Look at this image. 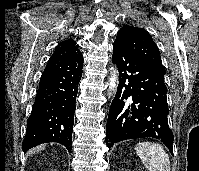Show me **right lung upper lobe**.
Wrapping results in <instances>:
<instances>
[{
	"label": "right lung upper lobe",
	"mask_w": 199,
	"mask_h": 171,
	"mask_svg": "<svg viewBox=\"0 0 199 171\" xmlns=\"http://www.w3.org/2000/svg\"><path fill=\"white\" fill-rule=\"evenodd\" d=\"M80 54L76 42L73 39H68L58 44L50 58L69 59L79 56Z\"/></svg>",
	"instance_id": "obj_1"
}]
</instances>
